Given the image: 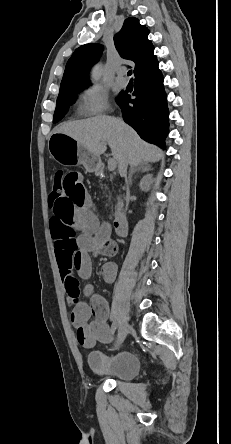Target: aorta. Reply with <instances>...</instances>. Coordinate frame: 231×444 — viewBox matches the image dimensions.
Masks as SVG:
<instances>
[{
  "mask_svg": "<svg viewBox=\"0 0 231 444\" xmlns=\"http://www.w3.org/2000/svg\"><path fill=\"white\" fill-rule=\"evenodd\" d=\"M99 75H100V68H98V69L95 71V73H94V75H93V79H94V80H97V79L99 78Z\"/></svg>",
  "mask_w": 231,
  "mask_h": 444,
  "instance_id": "762f6f07",
  "label": "aorta"
}]
</instances>
